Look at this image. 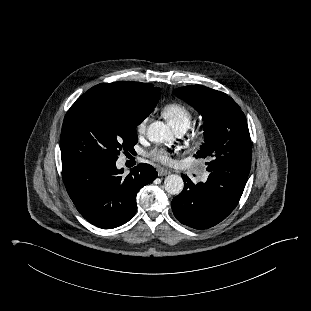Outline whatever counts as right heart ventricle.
Listing matches in <instances>:
<instances>
[{
	"label": "right heart ventricle",
	"mask_w": 311,
	"mask_h": 311,
	"mask_svg": "<svg viewBox=\"0 0 311 311\" xmlns=\"http://www.w3.org/2000/svg\"><path fill=\"white\" fill-rule=\"evenodd\" d=\"M162 115L175 131L178 129L186 130L193 118L191 110L178 102L166 104L162 109Z\"/></svg>",
	"instance_id": "right-heart-ventricle-1"
}]
</instances>
